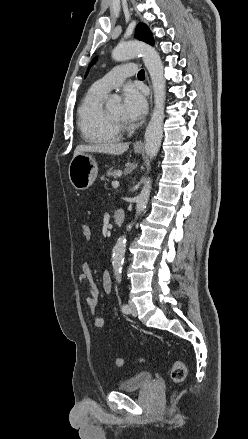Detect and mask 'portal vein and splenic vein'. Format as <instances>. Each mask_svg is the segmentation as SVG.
<instances>
[{
    "instance_id": "portal-vein-and-splenic-vein-1",
    "label": "portal vein and splenic vein",
    "mask_w": 248,
    "mask_h": 439,
    "mask_svg": "<svg viewBox=\"0 0 248 439\" xmlns=\"http://www.w3.org/2000/svg\"><path fill=\"white\" fill-rule=\"evenodd\" d=\"M112 187L113 188H118L119 187V182L118 181H113L112 182Z\"/></svg>"
}]
</instances>
